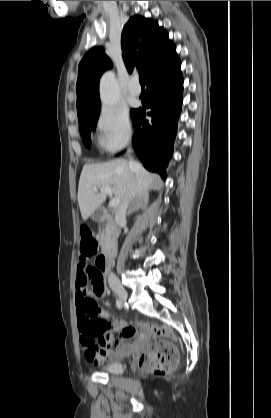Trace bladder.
<instances>
[{
	"label": "bladder",
	"instance_id": "1",
	"mask_svg": "<svg viewBox=\"0 0 271 418\" xmlns=\"http://www.w3.org/2000/svg\"><path fill=\"white\" fill-rule=\"evenodd\" d=\"M102 371H104L106 373H109V374L118 375V374L122 373L123 365L119 361H112V362L107 363L106 365H104L102 367Z\"/></svg>",
	"mask_w": 271,
	"mask_h": 418
}]
</instances>
